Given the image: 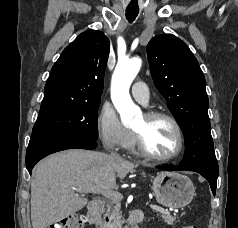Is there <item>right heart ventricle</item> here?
Returning a JSON list of instances; mask_svg holds the SVG:
<instances>
[{
	"instance_id": "1",
	"label": "right heart ventricle",
	"mask_w": 238,
	"mask_h": 228,
	"mask_svg": "<svg viewBox=\"0 0 238 228\" xmlns=\"http://www.w3.org/2000/svg\"><path fill=\"white\" fill-rule=\"evenodd\" d=\"M126 148H127L130 152H132V153H134V154H137V153H138V151H137V149H136V144H135V139H134L133 134H132L131 139H130V141L128 142Z\"/></svg>"
}]
</instances>
